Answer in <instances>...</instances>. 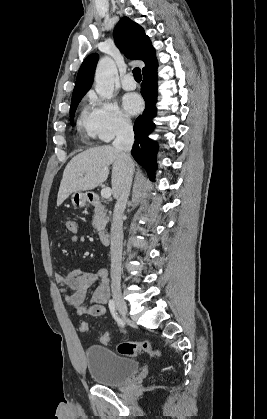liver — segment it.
<instances>
[{"instance_id": "6515ba94", "label": "liver", "mask_w": 267, "mask_h": 419, "mask_svg": "<svg viewBox=\"0 0 267 419\" xmlns=\"http://www.w3.org/2000/svg\"><path fill=\"white\" fill-rule=\"evenodd\" d=\"M112 165V193L118 197V188L124 174V160L120 152L111 145L87 149L74 156L65 167L60 183L57 206L70 194L96 188L106 181Z\"/></svg>"}]
</instances>
